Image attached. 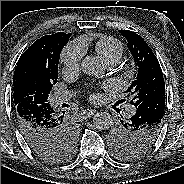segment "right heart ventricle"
I'll return each mask as SVG.
<instances>
[{
	"instance_id": "1",
	"label": "right heart ventricle",
	"mask_w": 184,
	"mask_h": 184,
	"mask_svg": "<svg viewBox=\"0 0 184 184\" xmlns=\"http://www.w3.org/2000/svg\"><path fill=\"white\" fill-rule=\"evenodd\" d=\"M84 47L88 43L86 40L81 41ZM95 52L106 64H116L125 52L124 45L113 37L103 36L97 39L94 44Z\"/></svg>"
}]
</instances>
